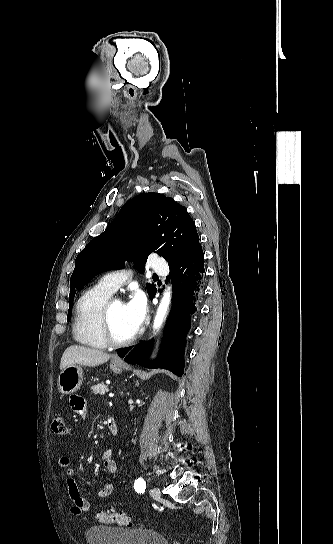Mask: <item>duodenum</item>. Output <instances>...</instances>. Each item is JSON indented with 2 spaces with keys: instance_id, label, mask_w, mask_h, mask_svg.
<instances>
[{
  "instance_id": "1",
  "label": "duodenum",
  "mask_w": 333,
  "mask_h": 544,
  "mask_svg": "<svg viewBox=\"0 0 333 544\" xmlns=\"http://www.w3.org/2000/svg\"><path fill=\"white\" fill-rule=\"evenodd\" d=\"M107 423H108L107 425H108V429H109L110 433H111L112 435H115L117 431H116L114 425L111 424V419H108V422H107Z\"/></svg>"
}]
</instances>
